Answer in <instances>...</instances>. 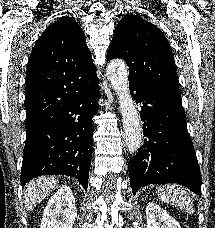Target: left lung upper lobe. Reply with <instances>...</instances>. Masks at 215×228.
I'll return each instance as SVG.
<instances>
[{"instance_id":"1","label":"left lung upper lobe","mask_w":215,"mask_h":228,"mask_svg":"<svg viewBox=\"0 0 215 228\" xmlns=\"http://www.w3.org/2000/svg\"><path fill=\"white\" fill-rule=\"evenodd\" d=\"M122 58L129 67V83L179 89L175 62L164 34L145 19L127 15L118 23L107 59Z\"/></svg>"}]
</instances>
